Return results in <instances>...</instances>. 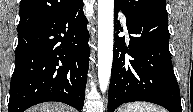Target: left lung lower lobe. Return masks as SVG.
Instances as JSON below:
<instances>
[{
  "label": "left lung lower lobe",
  "mask_w": 193,
  "mask_h": 112,
  "mask_svg": "<svg viewBox=\"0 0 193 112\" xmlns=\"http://www.w3.org/2000/svg\"><path fill=\"white\" fill-rule=\"evenodd\" d=\"M115 10V43L108 93V112L119 105L147 101L181 112L180 92L169 51L167 14L127 18L130 42L120 38ZM122 30V28H120Z\"/></svg>",
  "instance_id": "0a47b994"
}]
</instances>
